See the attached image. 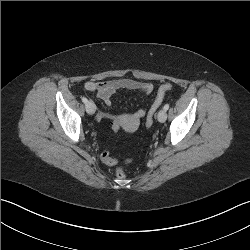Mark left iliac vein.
I'll use <instances>...</instances> for the list:
<instances>
[{
  "instance_id": "left-iliac-vein-1",
  "label": "left iliac vein",
  "mask_w": 250,
  "mask_h": 250,
  "mask_svg": "<svg viewBox=\"0 0 250 250\" xmlns=\"http://www.w3.org/2000/svg\"><path fill=\"white\" fill-rule=\"evenodd\" d=\"M157 118H158L159 122H161V123L165 122L166 119H167L166 111L164 109L160 110L159 113H158Z\"/></svg>"
}]
</instances>
